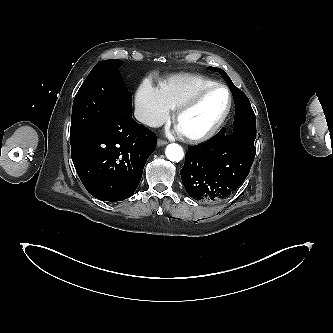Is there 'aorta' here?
Listing matches in <instances>:
<instances>
[{
    "label": "aorta",
    "mask_w": 333,
    "mask_h": 333,
    "mask_svg": "<svg viewBox=\"0 0 333 333\" xmlns=\"http://www.w3.org/2000/svg\"><path fill=\"white\" fill-rule=\"evenodd\" d=\"M165 154L166 157L173 162H179L184 156L182 147L175 143L169 144L166 147Z\"/></svg>",
    "instance_id": "obj_1"
}]
</instances>
